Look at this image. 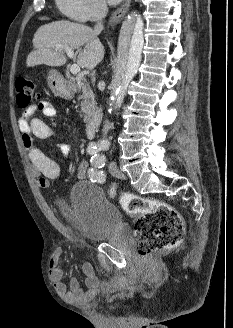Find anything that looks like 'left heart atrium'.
Returning a JSON list of instances; mask_svg holds the SVG:
<instances>
[{"label":"left heart atrium","mask_w":233,"mask_h":328,"mask_svg":"<svg viewBox=\"0 0 233 328\" xmlns=\"http://www.w3.org/2000/svg\"><path fill=\"white\" fill-rule=\"evenodd\" d=\"M121 0H108V3L111 5H116L120 2Z\"/></svg>","instance_id":"1"}]
</instances>
